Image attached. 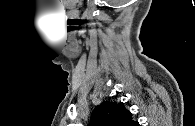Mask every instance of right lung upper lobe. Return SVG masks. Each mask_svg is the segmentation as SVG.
<instances>
[{
  "label": "right lung upper lobe",
  "instance_id": "obj_1",
  "mask_svg": "<svg viewBox=\"0 0 195 126\" xmlns=\"http://www.w3.org/2000/svg\"><path fill=\"white\" fill-rule=\"evenodd\" d=\"M122 102H103L92 112L88 126H139Z\"/></svg>",
  "mask_w": 195,
  "mask_h": 126
}]
</instances>
